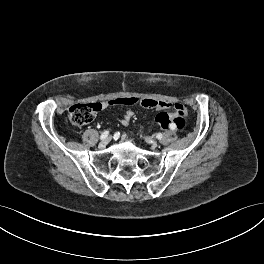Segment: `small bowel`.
Wrapping results in <instances>:
<instances>
[{
    "label": "small bowel",
    "mask_w": 264,
    "mask_h": 264,
    "mask_svg": "<svg viewBox=\"0 0 264 264\" xmlns=\"http://www.w3.org/2000/svg\"><path fill=\"white\" fill-rule=\"evenodd\" d=\"M132 100V103L130 105L136 104L138 103L139 105H141L144 108L147 109H155V110H166L171 108L172 106L176 109V107L180 106V104H171L169 102H165V101H158V100H154V99H136V98H130ZM102 107L105 108L109 104V102H103L101 103ZM133 111L132 110H127L124 115L122 116L120 122L123 126H127L131 119L133 118Z\"/></svg>",
    "instance_id": "1"
}]
</instances>
